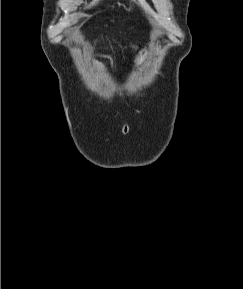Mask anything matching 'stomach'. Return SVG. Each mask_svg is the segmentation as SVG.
<instances>
[{
  "label": "stomach",
  "mask_w": 243,
  "mask_h": 289,
  "mask_svg": "<svg viewBox=\"0 0 243 289\" xmlns=\"http://www.w3.org/2000/svg\"><path fill=\"white\" fill-rule=\"evenodd\" d=\"M147 56V49L144 48L140 51V53L137 55L136 59H135V64L139 65L140 63H142L144 61V59Z\"/></svg>",
  "instance_id": "obj_1"
}]
</instances>
